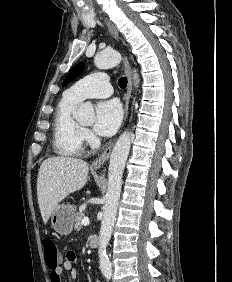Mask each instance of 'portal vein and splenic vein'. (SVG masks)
I'll return each mask as SVG.
<instances>
[{
	"instance_id": "obj_1",
	"label": "portal vein and splenic vein",
	"mask_w": 232,
	"mask_h": 282,
	"mask_svg": "<svg viewBox=\"0 0 232 282\" xmlns=\"http://www.w3.org/2000/svg\"><path fill=\"white\" fill-rule=\"evenodd\" d=\"M88 224H89V218H88V217H84V218L82 219V225L86 226V225H88Z\"/></svg>"
}]
</instances>
